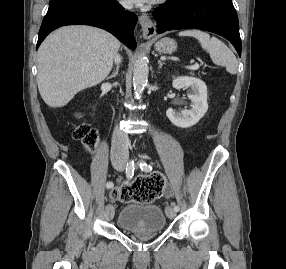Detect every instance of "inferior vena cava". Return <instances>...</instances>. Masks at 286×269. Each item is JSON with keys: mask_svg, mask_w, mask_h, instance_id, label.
<instances>
[{"mask_svg": "<svg viewBox=\"0 0 286 269\" xmlns=\"http://www.w3.org/2000/svg\"><path fill=\"white\" fill-rule=\"evenodd\" d=\"M130 8V5H125ZM121 58L119 55L115 56V62L120 63ZM129 138L128 135L118 128L115 129L112 137L111 158L114 161L126 162L129 158Z\"/></svg>", "mask_w": 286, "mask_h": 269, "instance_id": "obj_1", "label": "inferior vena cava"}]
</instances>
